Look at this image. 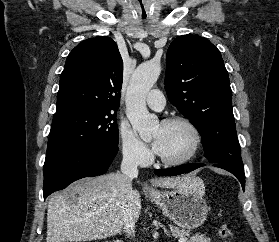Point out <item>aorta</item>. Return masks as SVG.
<instances>
[{
	"mask_svg": "<svg viewBox=\"0 0 279 242\" xmlns=\"http://www.w3.org/2000/svg\"><path fill=\"white\" fill-rule=\"evenodd\" d=\"M161 72L159 64L146 62L134 71L126 94V115L142 140L148 141L158 127V119L148 112L146 96Z\"/></svg>",
	"mask_w": 279,
	"mask_h": 242,
	"instance_id": "1",
	"label": "aorta"
}]
</instances>
